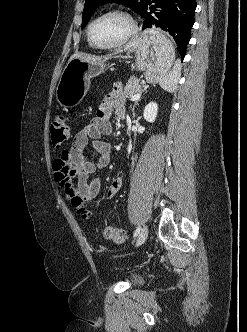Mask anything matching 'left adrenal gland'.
Returning a JSON list of instances; mask_svg holds the SVG:
<instances>
[{"label":"left adrenal gland","instance_id":"obj_1","mask_svg":"<svg viewBox=\"0 0 247 332\" xmlns=\"http://www.w3.org/2000/svg\"><path fill=\"white\" fill-rule=\"evenodd\" d=\"M136 105H138V101L134 104V106H133V108H132L133 116H134V117H135L134 108H135Z\"/></svg>","mask_w":247,"mask_h":332}]
</instances>
